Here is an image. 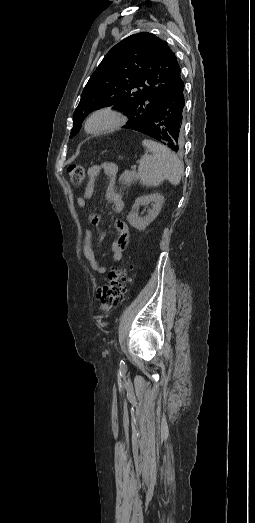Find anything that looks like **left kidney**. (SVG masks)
<instances>
[{"label":"left kidney","instance_id":"1","mask_svg":"<svg viewBox=\"0 0 255 523\" xmlns=\"http://www.w3.org/2000/svg\"><path fill=\"white\" fill-rule=\"evenodd\" d=\"M153 202V208L152 210H149L147 216L145 218H138L135 210L138 208V206H148V204H151ZM164 202L163 196L161 194H150V196H140V198H137L135 200L134 206H132V212L128 214L127 220L133 228H136V230H145L146 226H149L153 220H155L156 216H158L162 204Z\"/></svg>","mask_w":255,"mask_h":523}]
</instances>
